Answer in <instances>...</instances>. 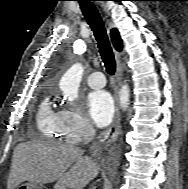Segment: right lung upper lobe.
<instances>
[{"label": "right lung upper lobe", "instance_id": "obj_1", "mask_svg": "<svg viewBox=\"0 0 188 189\" xmlns=\"http://www.w3.org/2000/svg\"><path fill=\"white\" fill-rule=\"evenodd\" d=\"M111 39H112L114 47L118 51H121L122 50V40L120 38V35H119V32L117 31V29L111 30Z\"/></svg>", "mask_w": 188, "mask_h": 189}]
</instances>
